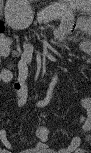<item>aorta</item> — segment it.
I'll return each instance as SVG.
<instances>
[{
  "label": "aorta",
  "mask_w": 91,
  "mask_h": 153,
  "mask_svg": "<svg viewBox=\"0 0 91 153\" xmlns=\"http://www.w3.org/2000/svg\"><path fill=\"white\" fill-rule=\"evenodd\" d=\"M57 81H58V76H57V74H55V75L53 76V78H52L51 83H52V84H56Z\"/></svg>",
  "instance_id": "aorta-1"
}]
</instances>
